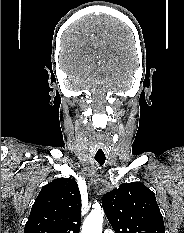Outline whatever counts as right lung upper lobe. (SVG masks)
Returning <instances> with one entry per match:
<instances>
[{
  "label": "right lung upper lobe",
  "mask_w": 184,
  "mask_h": 233,
  "mask_svg": "<svg viewBox=\"0 0 184 233\" xmlns=\"http://www.w3.org/2000/svg\"><path fill=\"white\" fill-rule=\"evenodd\" d=\"M81 195L71 178H58L37 196L24 233H79Z\"/></svg>",
  "instance_id": "right-lung-upper-lobe-1"
}]
</instances>
